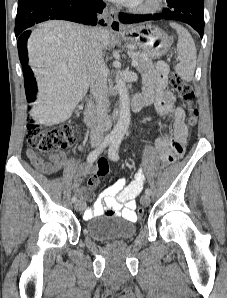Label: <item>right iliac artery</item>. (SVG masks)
<instances>
[{
	"label": "right iliac artery",
	"instance_id": "right-iliac-artery-1",
	"mask_svg": "<svg viewBox=\"0 0 227 298\" xmlns=\"http://www.w3.org/2000/svg\"><path fill=\"white\" fill-rule=\"evenodd\" d=\"M113 140L114 138L111 136L105 137V139L102 141L99 147L93 150L92 152H90V154L87 157V162L90 164L93 163L98 158L100 153L104 150V148H106L110 143H112ZM71 200L72 202H76L77 197L73 196Z\"/></svg>",
	"mask_w": 227,
	"mask_h": 298
}]
</instances>
